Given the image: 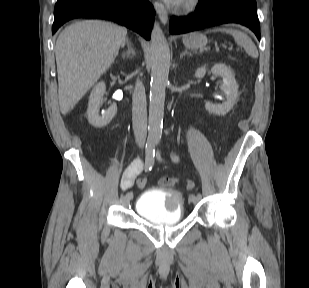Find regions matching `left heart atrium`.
Returning a JSON list of instances; mask_svg holds the SVG:
<instances>
[{
  "mask_svg": "<svg viewBox=\"0 0 309 288\" xmlns=\"http://www.w3.org/2000/svg\"><path fill=\"white\" fill-rule=\"evenodd\" d=\"M172 5H178L182 0H165Z\"/></svg>",
  "mask_w": 309,
  "mask_h": 288,
  "instance_id": "left-heart-atrium-1",
  "label": "left heart atrium"
}]
</instances>
